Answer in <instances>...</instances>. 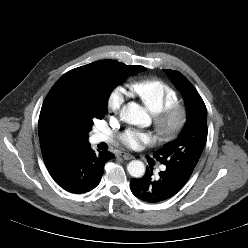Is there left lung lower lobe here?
<instances>
[{"label": "left lung lower lobe", "instance_id": "1", "mask_svg": "<svg viewBox=\"0 0 248 248\" xmlns=\"http://www.w3.org/2000/svg\"><path fill=\"white\" fill-rule=\"evenodd\" d=\"M184 184H182L175 174L170 170L159 172L156 179L152 178V170L146 171L144 177L133 178L130 182L132 193L140 200L148 203L165 201L177 194Z\"/></svg>", "mask_w": 248, "mask_h": 248}]
</instances>
